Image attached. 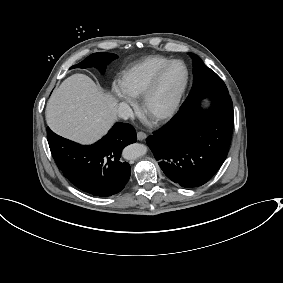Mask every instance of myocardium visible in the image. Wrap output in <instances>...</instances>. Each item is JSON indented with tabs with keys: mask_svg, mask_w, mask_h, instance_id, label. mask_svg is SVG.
I'll list each match as a JSON object with an SVG mask.
<instances>
[{
	"mask_svg": "<svg viewBox=\"0 0 283 283\" xmlns=\"http://www.w3.org/2000/svg\"><path fill=\"white\" fill-rule=\"evenodd\" d=\"M174 64L183 65V67L185 69L184 83H183L181 89L176 94L172 103L170 104V106L167 109H165L164 111H161V112H157V113H150L149 112V105H150L152 99L155 96L159 81H160L161 77L164 75V73ZM189 81H190V71H189L187 64L184 61H182V60H171L168 63H166L164 66H162L160 69H158L155 72V74L150 79V81H149V83H148V85H147V87H146V89H145V91L142 95L141 106H142L143 113L146 116L153 119L154 121H162V120H166V119L173 117L174 114L179 109L182 98H183V96H184V94H185V92L188 88Z\"/></svg>",
	"mask_w": 283,
	"mask_h": 283,
	"instance_id": "1",
	"label": "myocardium"
}]
</instances>
